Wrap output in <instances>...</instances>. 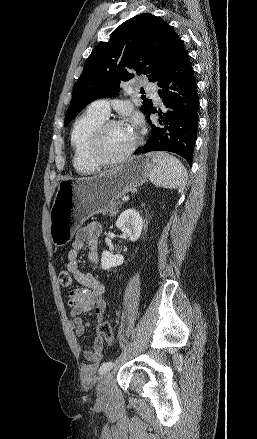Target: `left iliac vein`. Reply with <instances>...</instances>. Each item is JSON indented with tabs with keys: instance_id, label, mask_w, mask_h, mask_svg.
Segmentation results:
<instances>
[{
	"instance_id": "obj_1",
	"label": "left iliac vein",
	"mask_w": 257,
	"mask_h": 439,
	"mask_svg": "<svg viewBox=\"0 0 257 439\" xmlns=\"http://www.w3.org/2000/svg\"><path fill=\"white\" fill-rule=\"evenodd\" d=\"M112 382V374L110 372H106L100 380L98 385V401L100 403H104L108 401L110 397V388Z\"/></svg>"
}]
</instances>
